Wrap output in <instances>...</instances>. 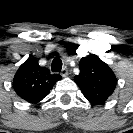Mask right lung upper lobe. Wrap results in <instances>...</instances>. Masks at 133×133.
<instances>
[{
	"mask_svg": "<svg viewBox=\"0 0 133 133\" xmlns=\"http://www.w3.org/2000/svg\"><path fill=\"white\" fill-rule=\"evenodd\" d=\"M60 75L50 74L36 59H28L17 70L13 88L17 95L30 103H38L45 98L53 85L61 80Z\"/></svg>",
	"mask_w": 133,
	"mask_h": 133,
	"instance_id": "obj_1",
	"label": "right lung upper lobe"
}]
</instances>
